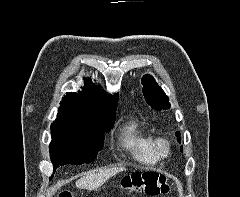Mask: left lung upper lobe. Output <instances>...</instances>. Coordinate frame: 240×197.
<instances>
[{"label": "left lung upper lobe", "mask_w": 240, "mask_h": 197, "mask_svg": "<svg viewBox=\"0 0 240 197\" xmlns=\"http://www.w3.org/2000/svg\"><path fill=\"white\" fill-rule=\"evenodd\" d=\"M143 95L146 102L155 110L168 109L170 103L164 91L158 86L156 81L150 75H145L142 80ZM177 140L180 141V133L176 132ZM182 151V146H181Z\"/></svg>", "instance_id": "5c2ea615"}]
</instances>
